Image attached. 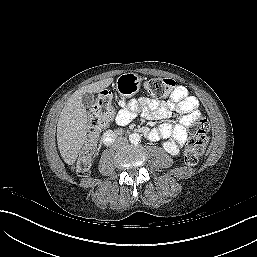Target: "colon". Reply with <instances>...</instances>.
<instances>
[{
	"instance_id": "5ec220e1",
	"label": "colon",
	"mask_w": 257,
	"mask_h": 257,
	"mask_svg": "<svg viewBox=\"0 0 257 257\" xmlns=\"http://www.w3.org/2000/svg\"><path fill=\"white\" fill-rule=\"evenodd\" d=\"M175 81L169 78L153 77L146 81L145 88L152 99H161L175 89ZM115 97L111 91L101 92L94 100L89 117L88 136L79 158L76 171L85 174L89 170V159L97 144L101 131L110 122L114 113ZM209 123L204 117H198L192 124V137L185 151V161L189 165L196 164L203 156L207 144Z\"/></svg>"
}]
</instances>
